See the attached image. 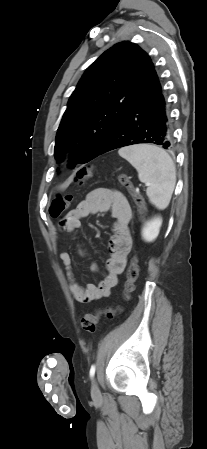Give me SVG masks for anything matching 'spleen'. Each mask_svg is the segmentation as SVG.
I'll use <instances>...</instances> for the list:
<instances>
[{
  "label": "spleen",
  "instance_id": "3e777b00",
  "mask_svg": "<svg viewBox=\"0 0 207 449\" xmlns=\"http://www.w3.org/2000/svg\"><path fill=\"white\" fill-rule=\"evenodd\" d=\"M118 153L135 167L139 180L148 184L146 194L149 201L158 209H165L176 184V169L169 154L149 144L124 147Z\"/></svg>",
  "mask_w": 207,
  "mask_h": 449
}]
</instances>
